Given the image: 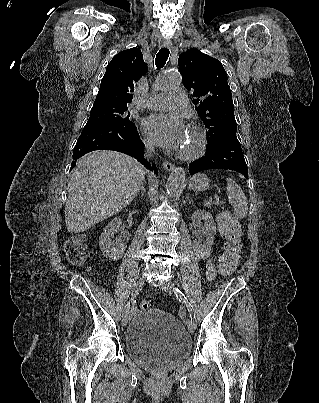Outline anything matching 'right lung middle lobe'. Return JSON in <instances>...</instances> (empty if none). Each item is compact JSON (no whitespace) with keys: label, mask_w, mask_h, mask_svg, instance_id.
I'll return each instance as SVG.
<instances>
[{"label":"right lung middle lobe","mask_w":319,"mask_h":403,"mask_svg":"<svg viewBox=\"0 0 319 403\" xmlns=\"http://www.w3.org/2000/svg\"><path fill=\"white\" fill-rule=\"evenodd\" d=\"M128 105L107 103V102H94L91 109L90 117L86 125L94 124H118L128 128L136 127L133 122L129 120L127 114Z\"/></svg>","instance_id":"1"}]
</instances>
